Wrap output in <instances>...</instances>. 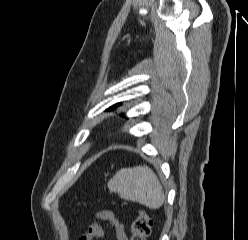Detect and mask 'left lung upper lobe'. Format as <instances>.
Listing matches in <instances>:
<instances>
[{
	"mask_svg": "<svg viewBox=\"0 0 248 240\" xmlns=\"http://www.w3.org/2000/svg\"><path fill=\"white\" fill-rule=\"evenodd\" d=\"M120 104H121V103L115 104V105L111 106L108 110H111L112 108H114V107H116V106H118V105H120Z\"/></svg>",
	"mask_w": 248,
	"mask_h": 240,
	"instance_id": "5c2ea615",
	"label": "left lung upper lobe"
}]
</instances>
